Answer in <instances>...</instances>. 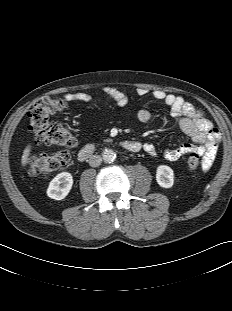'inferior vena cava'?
I'll use <instances>...</instances> for the list:
<instances>
[{
    "label": "inferior vena cava",
    "instance_id": "1",
    "mask_svg": "<svg viewBox=\"0 0 232 311\" xmlns=\"http://www.w3.org/2000/svg\"><path fill=\"white\" fill-rule=\"evenodd\" d=\"M101 162H102V157L100 155H92L89 158V165L91 167H97L101 164Z\"/></svg>",
    "mask_w": 232,
    "mask_h": 311
}]
</instances>
